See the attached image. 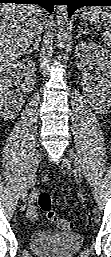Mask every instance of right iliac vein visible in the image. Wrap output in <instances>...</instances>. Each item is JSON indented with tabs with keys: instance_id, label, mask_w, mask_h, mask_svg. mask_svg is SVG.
<instances>
[{
	"instance_id": "right-iliac-vein-1",
	"label": "right iliac vein",
	"mask_w": 111,
	"mask_h": 257,
	"mask_svg": "<svg viewBox=\"0 0 111 257\" xmlns=\"http://www.w3.org/2000/svg\"><path fill=\"white\" fill-rule=\"evenodd\" d=\"M41 159H42V151H41V149H39V150H37V152H36V154L33 158L31 169H30V172L28 174V178L25 182L24 189L22 191V199H24L27 196L31 185L34 182L39 164L41 162Z\"/></svg>"
}]
</instances>
